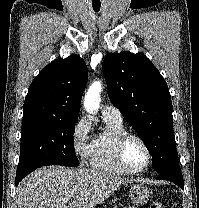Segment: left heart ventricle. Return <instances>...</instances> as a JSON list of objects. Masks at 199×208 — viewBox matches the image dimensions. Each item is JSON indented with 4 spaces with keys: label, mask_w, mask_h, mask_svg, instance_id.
I'll return each mask as SVG.
<instances>
[{
    "label": "left heart ventricle",
    "mask_w": 199,
    "mask_h": 208,
    "mask_svg": "<svg viewBox=\"0 0 199 208\" xmlns=\"http://www.w3.org/2000/svg\"><path fill=\"white\" fill-rule=\"evenodd\" d=\"M125 160L133 169H140L147 161V154L143 145L136 139H130L125 146Z\"/></svg>",
    "instance_id": "obj_1"
}]
</instances>
